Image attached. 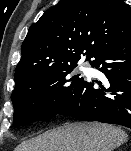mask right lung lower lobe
Returning a JSON list of instances; mask_svg holds the SVG:
<instances>
[{
	"instance_id": "right-lung-lower-lobe-1",
	"label": "right lung lower lobe",
	"mask_w": 131,
	"mask_h": 151,
	"mask_svg": "<svg viewBox=\"0 0 131 151\" xmlns=\"http://www.w3.org/2000/svg\"><path fill=\"white\" fill-rule=\"evenodd\" d=\"M90 59L107 83L95 89L84 80L58 114L131 128V33L97 49Z\"/></svg>"
}]
</instances>
